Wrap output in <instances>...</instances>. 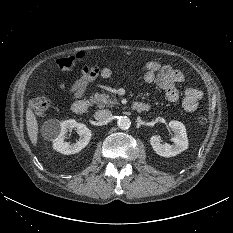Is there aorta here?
Instances as JSON below:
<instances>
[{
  "mask_svg": "<svg viewBox=\"0 0 233 233\" xmlns=\"http://www.w3.org/2000/svg\"><path fill=\"white\" fill-rule=\"evenodd\" d=\"M117 125L120 129L126 130L131 125V120L127 116H120L117 120Z\"/></svg>",
  "mask_w": 233,
  "mask_h": 233,
  "instance_id": "aorta-1",
  "label": "aorta"
}]
</instances>
